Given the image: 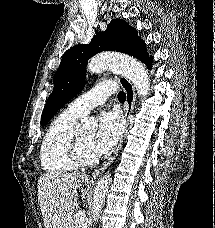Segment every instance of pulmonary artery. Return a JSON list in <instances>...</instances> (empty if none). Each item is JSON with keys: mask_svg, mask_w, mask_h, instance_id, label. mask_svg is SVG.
<instances>
[{"mask_svg": "<svg viewBox=\"0 0 215 228\" xmlns=\"http://www.w3.org/2000/svg\"><path fill=\"white\" fill-rule=\"evenodd\" d=\"M118 82H109V84H97V87L89 90L82 96L70 102L67 110L79 117L87 114L91 109L106 102L109 95L119 89Z\"/></svg>", "mask_w": 215, "mask_h": 228, "instance_id": "obj_1", "label": "pulmonary artery"}]
</instances>
